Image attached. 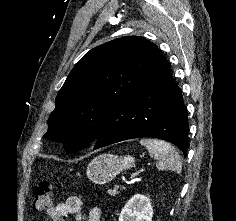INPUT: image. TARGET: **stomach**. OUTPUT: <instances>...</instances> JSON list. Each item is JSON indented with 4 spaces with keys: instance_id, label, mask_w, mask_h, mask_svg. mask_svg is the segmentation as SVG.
<instances>
[{
    "instance_id": "0dacf381",
    "label": "stomach",
    "mask_w": 236,
    "mask_h": 221,
    "mask_svg": "<svg viewBox=\"0 0 236 221\" xmlns=\"http://www.w3.org/2000/svg\"><path fill=\"white\" fill-rule=\"evenodd\" d=\"M135 165V158L130 155L117 156L114 154H102L87 166L86 174L95 184H105L113 180L120 172L128 170Z\"/></svg>"
}]
</instances>
